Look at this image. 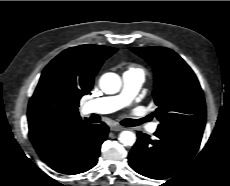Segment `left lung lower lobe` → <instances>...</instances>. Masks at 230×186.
Listing matches in <instances>:
<instances>
[{
	"label": "left lung lower lobe",
	"instance_id": "left-lung-lower-lobe-1",
	"mask_svg": "<svg viewBox=\"0 0 230 186\" xmlns=\"http://www.w3.org/2000/svg\"><path fill=\"white\" fill-rule=\"evenodd\" d=\"M202 134L158 127L155 138L151 139L138 132L137 142L129 153V165L137 173L152 179L171 177L194 157Z\"/></svg>",
	"mask_w": 230,
	"mask_h": 186
}]
</instances>
